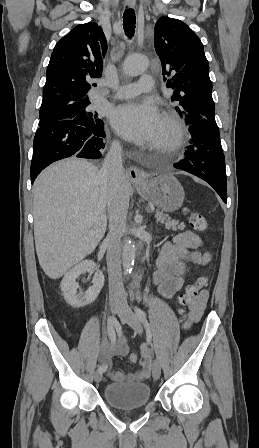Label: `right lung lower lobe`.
Wrapping results in <instances>:
<instances>
[{
	"instance_id": "obj_1",
	"label": "right lung lower lobe",
	"mask_w": 259,
	"mask_h": 448,
	"mask_svg": "<svg viewBox=\"0 0 259 448\" xmlns=\"http://www.w3.org/2000/svg\"><path fill=\"white\" fill-rule=\"evenodd\" d=\"M103 121L94 127L78 125L74 120H61L41 126L33 141L32 183L49 164L70 156L98 159L105 148Z\"/></svg>"
}]
</instances>
